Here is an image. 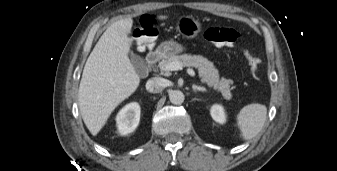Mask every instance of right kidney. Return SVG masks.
<instances>
[{"instance_id": "obj_1", "label": "right kidney", "mask_w": 337, "mask_h": 171, "mask_svg": "<svg viewBox=\"0 0 337 171\" xmlns=\"http://www.w3.org/2000/svg\"><path fill=\"white\" fill-rule=\"evenodd\" d=\"M140 121V106L133 102L123 107L116 116L118 132L126 135L133 132Z\"/></svg>"}]
</instances>
